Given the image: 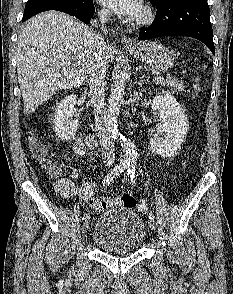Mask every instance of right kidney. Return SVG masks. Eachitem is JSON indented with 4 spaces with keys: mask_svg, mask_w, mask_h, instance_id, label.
Segmentation results:
<instances>
[{
    "mask_svg": "<svg viewBox=\"0 0 233 294\" xmlns=\"http://www.w3.org/2000/svg\"><path fill=\"white\" fill-rule=\"evenodd\" d=\"M76 99L77 96L71 94L64 97V99L57 104L54 116V130L56 135L62 140L67 141L73 138L78 129L79 121L73 119Z\"/></svg>",
    "mask_w": 233,
    "mask_h": 294,
    "instance_id": "obj_1",
    "label": "right kidney"
}]
</instances>
